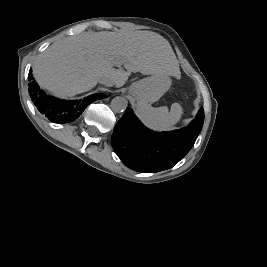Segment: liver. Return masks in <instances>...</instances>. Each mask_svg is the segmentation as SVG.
Listing matches in <instances>:
<instances>
[{"mask_svg":"<svg viewBox=\"0 0 267 267\" xmlns=\"http://www.w3.org/2000/svg\"><path fill=\"white\" fill-rule=\"evenodd\" d=\"M132 72L177 77L180 69L169 42L152 31L69 36L51 44L33 64L40 87L62 98L91 90L102 77L122 87Z\"/></svg>","mask_w":267,"mask_h":267,"instance_id":"obj_1","label":"liver"}]
</instances>
